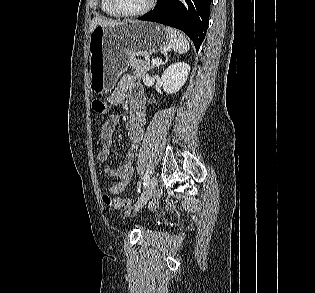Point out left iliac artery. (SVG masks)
I'll list each match as a JSON object with an SVG mask.
<instances>
[{
  "mask_svg": "<svg viewBox=\"0 0 315 293\" xmlns=\"http://www.w3.org/2000/svg\"><path fill=\"white\" fill-rule=\"evenodd\" d=\"M149 179H150V176H149V172L147 171V172L145 173V175H144V178H143V180H144V182H143L144 187L147 186V184H148V182H149Z\"/></svg>",
  "mask_w": 315,
  "mask_h": 293,
  "instance_id": "1",
  "label": "left iliac artery"
}]
</instances>
